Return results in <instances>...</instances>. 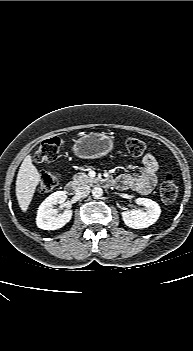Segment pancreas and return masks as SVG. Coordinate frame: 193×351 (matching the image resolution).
<instances>
[{
	"label": "pancreas",
	"mask_w": 193,
	"mask_h": 351,
	"mask_svg": "<svg viewBox=\"0 0 193 351\" xmlns=\"http://www.w3.org/2000/svg\"><path fill=\"white\" fill-rule=\"evenodd\" d=\"M96 181L94 178H90L88 175L85 173H78L73 176V184L79 186L81 184H92Z\"/></svg>",
	"instance_id": "1"
}]
</instances>
